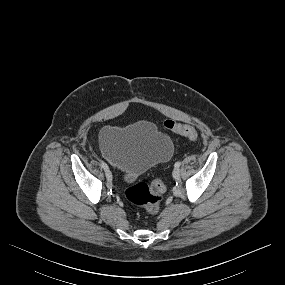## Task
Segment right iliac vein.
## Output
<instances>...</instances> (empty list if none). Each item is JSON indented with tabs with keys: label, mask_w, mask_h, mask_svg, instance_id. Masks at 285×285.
<instances>
[{
	"label": "right iliac vein",
	"mask_w": 285,
	"mask_h": 285,
	"mask_svg": "<svg viewBox=\"0 0 285 285\" xmlns=\"http://www.w3.org/2000/svg\"><path fill=\"white\" fill-rule=\"evenodd\" d=\"M105 175H106L107 180H112V173L110 172L109 169L105 170Z\"/></svg>",
	"instance_id": "right-iliac-vein-1"
}]
</instances>
